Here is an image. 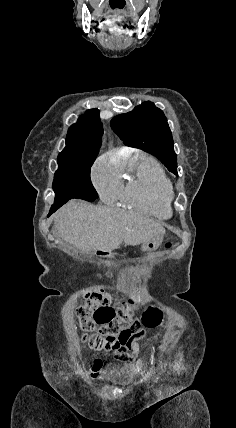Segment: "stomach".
Listing matches in <instances>:
<instances>
[{"instance_id":"obj_1","label":"stomach","mask_w":236,"mask_h":428,"mask_svg":"<svg viewBox=\"0 0 236 428\" xmlns=\"http://www.w3.org/2000/svg\"><path fill=\"white\" fill-rule=\"evenodd\" d=\"M162 240V236H158V238H153L152 242H144L141 248L142 252H154L160 246Z\"/></svg>"}]
</instances>
